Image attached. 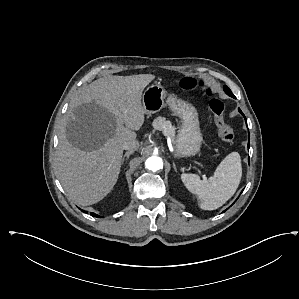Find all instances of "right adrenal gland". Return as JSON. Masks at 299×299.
<instances>
[{"label": "right adrenal gland", "instance_id": "1", "mask_svg": "<svg viewBox=\"0 0 299 299\" xmlns=\"http://www.w3.org/2000/svg\"><path fill=\"white\" fill-rule=\"evenodd\" d=\"M132 153H133L132 151H127V152L124 154V156H123V158H122V164H123V162H124L125 160H127V159L129 158V156H130Z\"/></svg>", "mask_w": 299, "mask_h": 299}]
</instances>
